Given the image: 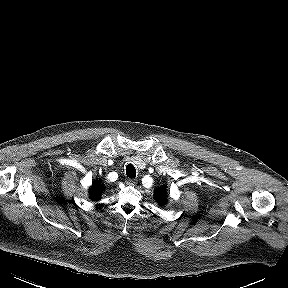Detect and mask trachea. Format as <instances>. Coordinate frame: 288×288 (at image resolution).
I'll return each mask as SVG.
<instances>
[{
    "mask_svg": "<svg viewBox=\"0 0 288 288\" xmlns=\"http://www.w3.org/2000/svg\"><path fill=\"white\" fill-rule=\"evenodd\" d=\"M126 175L129 178H135L136 177V169H135L134 165L128 164L126 166Z\"/></svg>",
    "mask_w": 288,
    "mask_h": 288,
    "instance_id": "1",
    "label": "trachea"
}]
</instances>
